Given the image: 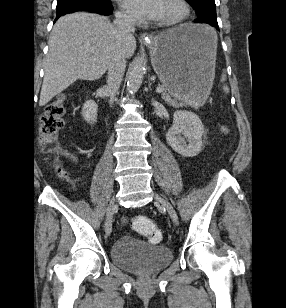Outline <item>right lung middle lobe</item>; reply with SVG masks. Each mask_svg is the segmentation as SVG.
I'll use <instances>...</instances> for the list:
<instances>
[{
    "label": "right lung middle lobe",
    "instance_id": "right-lung-middle-lobe-1",
    "mask_svg": "<svg viewBox=\"0 0 286 308\" xmlns=\"http://www.w3.org/2000/svg\"><path fill=\"white\" fill-rule=\"evenodd\" d=\"M76 4H97L100 6L112 5L110 0H57V9Z\"/></svg>",
    "mask_w": 286,
    "mask_h": 308
}]
</instances>
